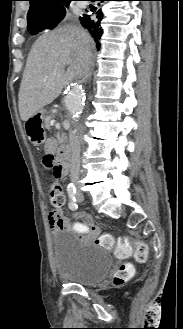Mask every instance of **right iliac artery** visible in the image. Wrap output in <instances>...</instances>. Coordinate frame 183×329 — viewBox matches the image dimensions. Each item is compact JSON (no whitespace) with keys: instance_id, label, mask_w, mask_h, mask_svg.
Returning <instances> with one entry per match:
<instances>
[{"instance_id":"82829eb1","label":"right iliac artery","mask_w":183,"mask_h":329,"mask_svg":"<svg viewBox=\"0 0 183 329\" xmlns=\"http://www.w3.org/2000/svg\"><path fill=\"white\" fill-rule=\"evenodd\" d=\"M68 195H69V199H70L69 208L74 211L78 208V204H77L76 198H75L76 190L74 188L68 189Z\"/></svg>"}]
</instances>
